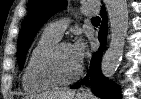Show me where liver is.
Here are the masks:
<instances>
[{"instance_id": "obj_1", "label": "liver", "mask_w": 141, "mask_h": 99, "mask_svg": "<svg viewBox=\"0 0 141 99\" xmlns=\"http://www.w3.org/2000/svg\"><path fill=\"white\" fill-rule=\"evenodd\" d=\"M74 90H57L46 92L37 96H27L25 99H74Z\"/></svg>"}]
</instances>
